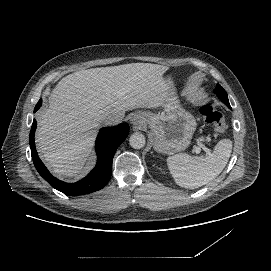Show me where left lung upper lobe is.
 I'll return each instance as SVG.
<instances>
[{
	"label": "left lung upper lobe",
	"mask_w": 271,
	"mask_h": 271,
	"mask_svg": "<svg viewBox=\"0 0 271 271\" xmlns=\"http://www.w3.org/2000/svg\"><path fill=\"white\" fill-rule=\"evenodd\" d=\"M215 93L220 97V99L222 100V102L228 107H230L229 104V100H228V96L226 91L218 84L215 90Z\"/></svg>",
	"instance_id": "1"
}]
</instances>
